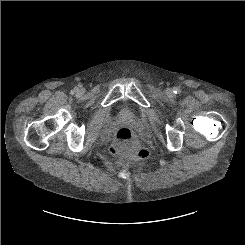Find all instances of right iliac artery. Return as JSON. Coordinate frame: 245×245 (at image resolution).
Here are the masks:
<instances>
[{
    "label": "right iliac artery",
    "instance_id": "right-iliac-artery-1",
    "mask_svg": "<svg viewBox=\"0 0 245 245\" xmlns=\"http://www.w3.org/2000/svg\"><path fill=\"white\" fill-rule=\"evenodd\" d=\"M78 89L77 88H74L72 91H71V94H74Z\"/></svg>",
    "mask_w": 245,
    "mask_h": 245
}]
</instances>
